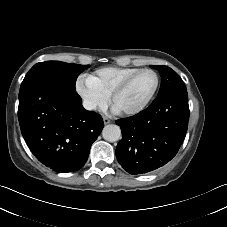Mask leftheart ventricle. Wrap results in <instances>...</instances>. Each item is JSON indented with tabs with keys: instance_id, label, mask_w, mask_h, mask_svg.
<instances>
[{
	"instance_id": "left-heart-ventricle-1",
	"label": "left heart ventricle",
	"mask_w": 227,
	"mask_h": 227,
	"mask_svg": "<svg viewBox=\"0 0 227 227\" xmlns=\"http://www.w3.org/2000/svg\"><path fill=\"white\" fill-rule=\"evenodd\" d=\"M155 85V76L150 72L137 76L127 90L121 93L115 102L120 110H130L141 105Z\"/></svg>"
}]
</instances>
